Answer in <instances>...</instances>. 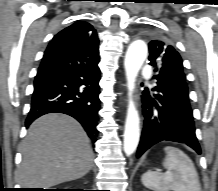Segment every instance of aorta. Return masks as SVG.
<instances>
[{"label": "aorta", "instance_id": "aorta-1", "mask_svg": "<svg viewBox=\"0 0 218 191\" xmlns=\"http://www.w3.org/2000/svg\"><path fill=\"white\" fill-rule=\"evenodd\" d=\"M147 54L148 49L146 43L141 40H136L129 45L124 59L129 94L124 130V152L127 155H131L135 152L140 138V118L135 103L132 100V93L135 89L138 72L147 58Z\"/></svg>", "mask_w": 218, "mask_h": 191}]
</instances>
